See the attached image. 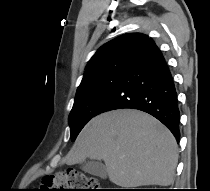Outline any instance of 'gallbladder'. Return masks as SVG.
I'll list each match as a JSON object with an SVG mask.
<instances>
[{
    "label": "gallbladder",
    "mask_w": 210,
    "mask_h": 191,
    "mask_svg": "<svg viewBox=\"0 0 210 191\" xmlns=\"http://www.w3.org/2000/svg\"><path fill=\"white\" fill-rule=\"evenodd\" d=\"M81 168L85 172H87L89 174H92L94 176H99L101 178H106L107 177L106 168L99 161H94V160L85 161V162H83Z\"/></svg>",
    "instance_id": "1"
}]
</instances>
